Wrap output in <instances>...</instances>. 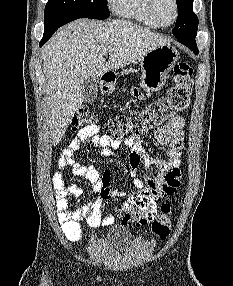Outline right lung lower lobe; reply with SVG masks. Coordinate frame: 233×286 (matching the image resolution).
Masks as SVG:
<instances>
[{
  "label": "right lung lower lobe",
  "mask_w": 233,
  "mask_h": 286,
  "mask_svg": "<svg viewBox=\"0 0 233 286\" xmlns=\"http://www.w3.org/2000/svg\"><path fill=\"white\" fill-rule=\"evenodd\" d=\"M78 19L75 16L71 15H64L61 17L56 18L55 20L46 23L45 24V29H44V35L43 38L40 42V46H42L46 41L49 40V38L53 35V33L62 25H65L73 20Z\"/></svg>",
  "instance_id": "obj_1"
}]
</instances>
